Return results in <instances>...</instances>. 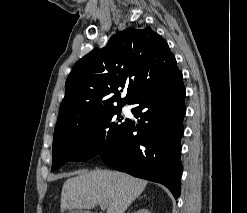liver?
<instances>
[{"instance_id": "6515ba94", "label": "liver", "mask_w": 247, "mask_h": 213, "mask_svg": "<svg viewBox=\"0 0 247 213\" xmlns=\"http://www.w3.org/2000/svg\"><path fill=\"white\" fill-rule=\"evenodd\" d=\"M146 180L110 170L79 172L68 178L61 192V213L90 210L103 202L106 213H124L143 192Z\"/></svg>"}]
</instances>
